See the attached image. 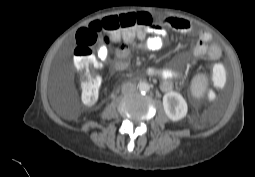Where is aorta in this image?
I'll list each match as a JSON object with an SVG mask.
<instances>
[{
  "mask_svg": "<svg viewBox=\"0 0 255 177\" xmlns=\"http://www.w3.org/2000/svg\"><path fill=\"white\" fill-rule=\"evenodd\" d=\"M138 88L141 92L145 93L150 90V85L147 82L142 81L138 84Z\"/></svg>",
  "mask_w": 255,
  "mask_h": 177,
  "instance_id": "762f6f07",
  "label": "aorta"
}]
</instances>
